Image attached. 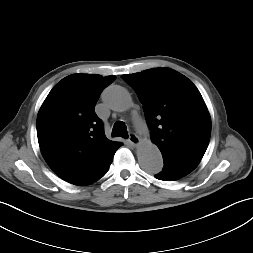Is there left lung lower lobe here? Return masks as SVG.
I'll use <instances>...</instances> for the list:
<instances>
[{
  "label": "left lung lower lobe",
  "instance_id": "1",
  "mask_svg": "<svg viewBox=\"0 0 253 253\" xmlns=\"http://www.w3.org/2000/svg\"><path fill=\"white\" fill-rule=\"evenodd\" d=\"M196 166L186 162L164 160V168L159 174L155 175V178L163 181H174L189 174Z\"/></svg>",
  "mask_w": 253,
  "mask_h": 253
}]
</instances>
